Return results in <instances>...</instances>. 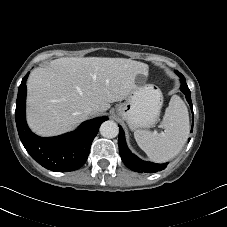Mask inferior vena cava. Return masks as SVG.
I'll list each match as a JSON object with an SVG mask.
<instances>
[{"mask_svg": "<svg viewBox=\"0 0 227 227\" xmlns=\"http://www.w3.org/2000/svg\"><path fill=\"white\" fill-rule=\"evenodd\" d=\"M84 112L87 114V115H93L95 113V109L93 107H87Z\"/></svg>", "mask_w": 227, "mask_h": 227, "instance_id": "inferior-vena-cava-1", "label": "inferior vena cava"}]
</instances>
